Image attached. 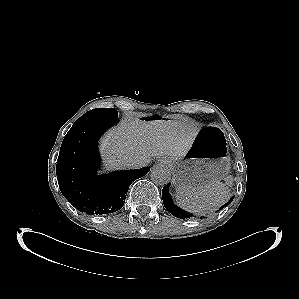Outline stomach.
<instances>
[{
	"instance_id": "0dacf381",
	"label": "stomach",
	"mask_w": 299,
	"mask_h": 299,
	"mask_svg": "<svg viewBox=\"0 0 299 299\" xmlns=\"http://www.w3.org/2000/svg\"><path fill=\"white\" fill-rule=\"evenodd\" d=\"M180 186L200 188L221 181L229 173L230 157L223 132L215 125L199 129L189 151L165 159Z\"/></svg>"
}]
</instances>
